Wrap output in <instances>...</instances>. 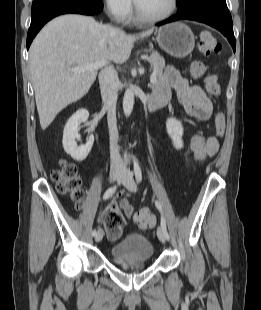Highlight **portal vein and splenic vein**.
Listing matches in <instances>:
<instances>
[{
	"label": "portal vein and splenic vein",
	"mask_w": 261,
	"mask_h": 310,
	"mask_svg": "<svg viewBox=\"0 0 261 310\" xmlns=\"http://www.w3.org/2000/svg\"><path fill=\"white\" fill-rule=\"evenodd\" d=\"M106 63H107L106 61H100V62H96L92 64L81 65V66H77V67L70 69V71H72L73 73H80V72H84L87 70L99 69L103 67L104 65H106ZM156 82H157V78L155 76H151L150 83L154 84Z\"/></svg>",
	"instance_id": "portal-vein-and-splenic-vein-1"
}]
</instances>
